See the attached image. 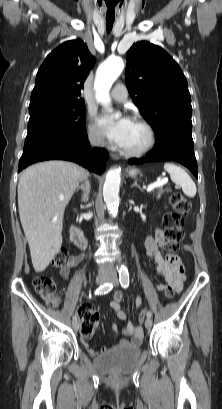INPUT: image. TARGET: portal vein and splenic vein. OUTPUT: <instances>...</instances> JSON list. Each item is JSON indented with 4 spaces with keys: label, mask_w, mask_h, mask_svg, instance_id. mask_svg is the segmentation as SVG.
Here are the masks:
<instances>
[{
    "label": "portal vein and splenic vein",
    "mask_w": 222,
    "mask_h": 409,
    "mask_svg": "<svg viewBox=\"0 0 222 409\" xmlns=\"http://www.w3.org/2000/svg\"><path fill=\"white\" fill-rule=\"evenodd\" d=\"M168 182V179L164 178V179H158L156 182L150 184L147 187V192L152 191L153 189L163 186L164 184H166Z\"/></svg>",
    "instance_id": "1"
}]
</instances>
